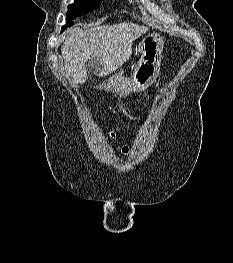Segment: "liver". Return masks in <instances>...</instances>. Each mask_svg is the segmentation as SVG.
I'll use <instances>...</instances> for the list:
<instances>
[{
	"label": "liver",
	"instance_id": "6515ba94",
	"mask_svg": "<svg viewBox=\"0 0 233 263\" xmlns=\"http://www.w3.org/2000/svg\"><path fill=\"white\" fill-rule=\"evenodd\" d=\"M145 32V27L131 22L70 29L61 46L65 73L73 84H83L88 78L85 65L95 59L97 75L111 74L128 60L133 41Z\"/></svg>",
	"mask_w": 233,
	"mask_h": 263
}]
</instances>
